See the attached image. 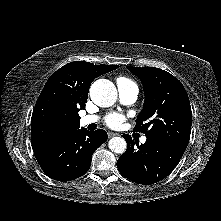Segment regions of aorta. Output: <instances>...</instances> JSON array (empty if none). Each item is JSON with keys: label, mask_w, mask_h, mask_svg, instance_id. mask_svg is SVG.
I'll return each instance as SVG.
<instances>
[{"label": "aorta", "mask_w": 221, "mask_h": 221, "mask_svg": "<svg viewBox=\"0 0 221 221\" xmlns=\"http://www.w3.org/2000/svg\"><path fill=\"white\" fill-rule=\"evenodd\" d=\"M91 100L100 107L112 106L117 100L115 85L107 79L96 80L90 88ZM109 148L112 152L122 154L126 151L127 143L121 137H113L109 140Z\"/></svg>", "instance_id": "1"}]
</instances>
